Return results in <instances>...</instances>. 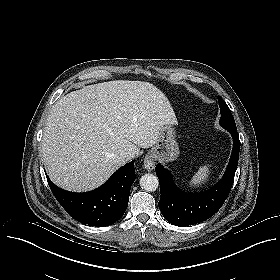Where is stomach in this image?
Listing matches in <instances>:
<instances>
[{
	"mask_svg": "<svg viewBox=\"0 0 280 280\" xmlns=\"http://www.w3.org/2000/svg\"><path fill=\"white\" fill-rule=\"evenodd\" d=\"M175 137V130L172 125L165 126L149 154L162 163L176 160L180 151Z\"/></svg>",
	"mask_w": 280,
	"mask_h": 280,
	"instance_id": "0dacf381",
	"label": "stomach"
}]
</instances>
